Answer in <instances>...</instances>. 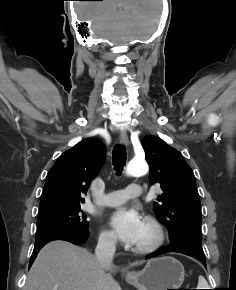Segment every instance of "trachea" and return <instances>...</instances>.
<instances>
[{
	"label": "trachea",
	"instance_id": "trachea-1",
	"mask_svg": "<svg viewBox=\"0 0 236 290\" xmlns=\"http://www.w3.org/2000/svg\"><path fill=\"white\" fill-rule=\"evenodd\" d=\"M112 160L115 171L120 174L126 164V148L122 145L115 146L112 152Z\"/></svg>",
	"mask_w": 236,
	"mask_h": 290
}]
</instances>
